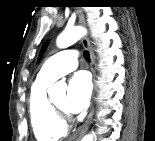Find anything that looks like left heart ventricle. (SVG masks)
Instances as JSON below:
<instances>
[{"label": "left heart ventricle", "instance_id": "left-heart-ventricle-1", "mask_svg": "<svg viewBox=\"0 0 155 141\" xmlns=\"http://www.w3.org/2000/svg\"><path fill=\"white\" fill-rule=\"evenodd\" d=\"M53 102L61 109L65 110V95H60L53 99Z\"/></svg>", "mask_w": 155, "mask_h": 141}]
</instances>
